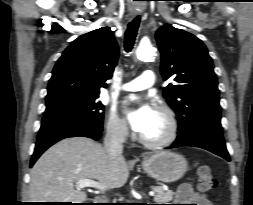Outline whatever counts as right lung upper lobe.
I'll use <instances>...</instances> for the list:
<instances>
[{"instance_id":"1","label":"right lung upper lobe","mask_w":253,"mask_h":205,"mask_svg":"<svg viewBox=\"0 0 253 205\" xmlns=\"http://www.w3.org/2000/svg\"><path fill=\"white\" fill-rule=\"evenodd\" d=\"M119 49L110 27L74 40L57 61L48 84L46 101L72 95H99L112 77Z\"/></svg>"}]
</instances>
